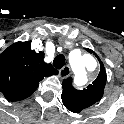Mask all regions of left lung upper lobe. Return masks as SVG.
<instances>
[{"label":"left lung upper lobe","instance_id":"left-lung-upper-lobe-1","mask_svg":"<svg viewBox=\"0 0 124 124\" xmlns=\"http://www.w3.org/2000/svg\"><path fill=\"white\" fill-rule=\"evenodd\" d=\"M86 50L94 53L91 49L87 48ZM94 55L100 62V73L92 84L88 85L86 89L75 90L72 86V78H67L62 82L63 92L61 98L65 107L71 112L79 113L98 102L103 96L107 79L106 71L96 53Z\"/></svg>","mask_w":124,"mask_h":124}]
</instances>
